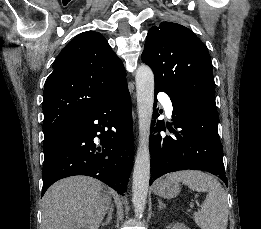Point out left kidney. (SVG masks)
Here are the masks:
<instances>
[{"label":"left kidney","mask_w":261,"mask_h":229,"mask_svg":"<svg viewBox=\"0 0 261 229\" xmlns=\"http://www.w3.org/2000/svg\"><path fill=\"white\" fill-rule=\"evenodd\" d=\"M166 229H188V227L182 225V223H175V225H170V227H166Z\"/></svg>","instance_id":"5707ae66"}]
</instances>
